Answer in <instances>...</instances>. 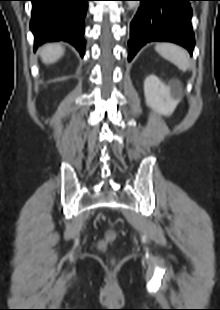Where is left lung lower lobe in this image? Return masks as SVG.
Segmentation results:
<instances>
[{"mask_svg": "<svg viewBox=\"0 0 220 310\" xmlns=\"http://www.w3.org/2000/svg\"><path fill=\"white\" fill-rule=\"evenodd\" d=\"M136 1L141 4L130 26L129 61L140 48L152 41L177 43L192 55L195 38L189 2L194 0Z\"/></svg>", "mask_w": 220, "mask_h": 310, "instance_id": "obj_1", "label": "left lung lower lobe"}]
</instances>
